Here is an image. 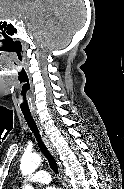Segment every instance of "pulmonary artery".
Here are the masks:
<instances>
[{"label":"pulmonary artery","mask_w":124,"mask_h":189,"mask_svg":"<svg viewBox=\"0 0 124 189\" xmlns=\"http://www.w3.org/2000/svg\"><path fill=\"white\" fill-rule=\"evenodd\" d=\"M25 181H29L31 183L47 184L51 181V176L48 172L37 171Z\"/></svg>","instance_id":"obj_1"}]
</instances>
